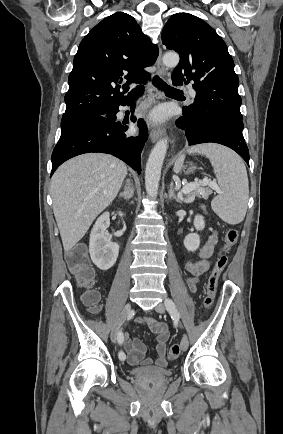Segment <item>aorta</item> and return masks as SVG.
<instances>
[{
	"label": "aorta",
	"instance_id": "aorta-1",
	"mask_svg": "<svg viewBox=\"0 0 283 434\" xmlns=\"http://www.w3.org/2000/svg\"><path fill=\"white\" fill-rule=\"evenodd\" d=\"M163 63L168 67H176L179 63L177 53H167L163 57ZM168 148V139L159 140L152 149L145 170V188L147 194L154 198L158 194V186L161 177V169Z\"/></svg>",
	"mask_w": 283,
	"mask_h": 434
}]
</instances>
